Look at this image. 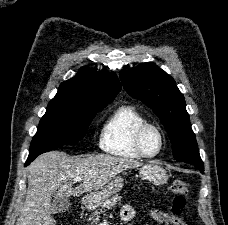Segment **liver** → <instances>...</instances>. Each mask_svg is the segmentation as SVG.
<instances>
[{
	"instance_id": "obj_1",
	"label": "liver",
	"mask_w": 228,
	"mask_h": 225,
	"mask_svg": "<svg viewBox=\"0 0 228 225\" xmlns=\"http://www.w3.org/2000/svg\"><path fill=\"white\" fill-rule=\"evenodd\" d=\"M136 167H140V163L111 155L73 159L61 151L44 153L27 167V197L16 225H54L52 195L67 199L70 195L81 197L84 193H94L108 185L118 173ZM75 177H81V185L72 189Z\"/></svg>"
}]
</instances>
